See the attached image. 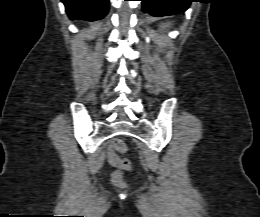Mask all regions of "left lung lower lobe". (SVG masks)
Returning <instances> with one entry per match:
<instances>
[{"label":"left lung lower lobe","mask_w":260,"mask_h":217,"mask_svg":"<svg viewBox=\"0 0 260 217\" xmlns=\"http://www.w3.org/2000/svg\"><path fill=\"white\" fill-rule=\"evenodd\" d=\"M142 10L155 17L170 16L186 11L192 0H140Z\"/></svg>","instance_id":"1"}]
</instances>
